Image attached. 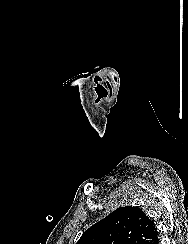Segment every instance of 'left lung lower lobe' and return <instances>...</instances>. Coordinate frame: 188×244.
<instances>
[{"label":"left lung lower lobe","mask_w":188,"mask_h":244,"mask_svg":"<svg viewBox=\"0 0 188 244\" xmlns=\"http://www.w3.org/2000/svg\"><path fill=\"white\" fill-rule=\"evenodd\" d=\"M151 244H159L158 235H157V237L155 238V240Z\"/></svg>","instance_id":"1"}]
</instances>
